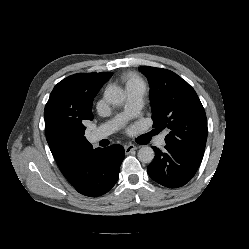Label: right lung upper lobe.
<instances>
[{"label": "right lung upper lobe", "instance_id": "1", "mask_svg": "<svg viewBox=\"0 0 249 249\" xmlns=\"http://www.w3.org/2000/svg\"><path fill=\"white\" fill-rule=\"evenodd\" d=\"M113 75L78 73L59 82L45 106L46 139L63 175L70 172L75 158L93 149L84 136L86 120H92V102Z\"/></svg>", "mask_w": 249, "mask_h": 249}]
</instances>
